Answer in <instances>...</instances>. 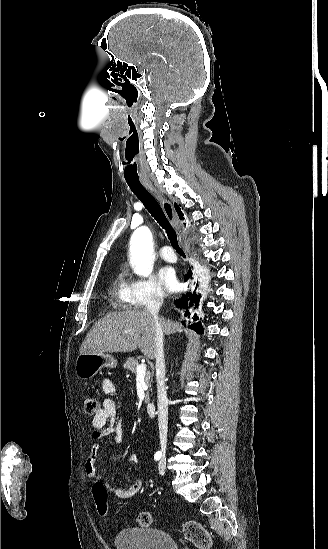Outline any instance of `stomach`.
<instances>
[{
  "mask_svg": "<svg viewBox=\"0 0 328 549\" xmlns=\"http://www.w3.org/2000/svg\"><path fill=\"white\" fill-rule=\"evenodd\" d=\"M104 367L114 369V367H117L116 359L111 357V355H104V353H97V355L81 353L76 359L75 373L78 379L88 381V379H92Z\"/></svg>",
  "mask_w": 328,
  "mask_h": 549,
  "instance_id": "0dacf381",
  "label": "stomach"
}]
</instances>
